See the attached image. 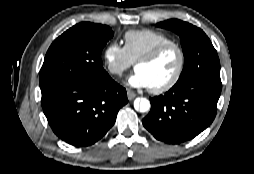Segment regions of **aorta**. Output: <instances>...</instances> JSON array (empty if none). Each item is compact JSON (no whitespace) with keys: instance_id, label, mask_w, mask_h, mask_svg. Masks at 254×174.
Listing matches in <instances>:
<instances>
[{"instance_id":"obj_1","label":"aorta","mask_w":254,"mask_h":174,"mask_svg":"<svg viewBox=\"0 0 254 174\" xmlns=\"http://www.w3.org/2000/svg\"><path fill=\"white\" fill-rule=\"evenodd\" d=\"M134 107L136 110L140 112H147L149 111L151 105L148 99L146 98H138L134 102Z\"/></svg>"}]
</instances>
